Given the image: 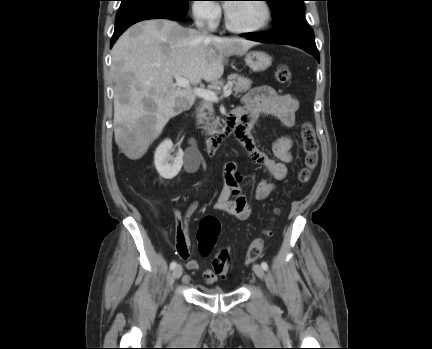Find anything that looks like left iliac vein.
Returning a JSON list of instances; mask_svg holds the SVG:
<instances>
[{"label":"left iliac vein","instance_id":"left-iliac-vein-1","mask_svg":"<svg viewBox=\"0 0 432 349\" xmlns=\"http://www.w3.org/2000/svg\"><path fill=\"white\" fill-rule=\"evenodd\" d=\"M253 270L259 278H261V279L264 278V276H265L264 270L259 264H255L253 266Z\"/></svg>","mask_w":432,"mask_h":349}]
</instances>
